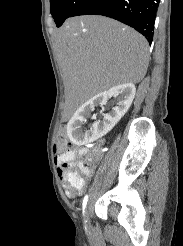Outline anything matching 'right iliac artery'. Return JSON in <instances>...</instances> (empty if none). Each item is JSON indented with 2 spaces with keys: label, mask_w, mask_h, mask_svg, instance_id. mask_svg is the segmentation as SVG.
Wrapping results in <instances>:
<instances>
[{
  "label": "right iliac artery",
  "mask_w": 183,
  "mask_h": 246,
  "mask_svg": "<svg viewBox=\"0 0 183 246\" xmlns=\"http://www.w3.org/2000/svg\"><path fill=\"white\" fill-rule=\"evenodd\" d=\"M87 201H88V195H86L83 199V204H82V209H83V214L85 213V208L87 205Z\"/></svg>",
  "instance_id": "right-iliac-artery-1"
}]
</instances>
